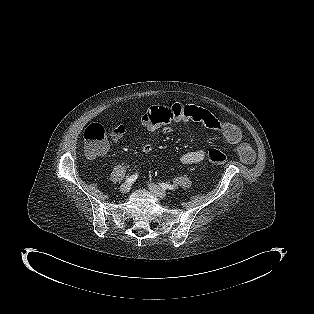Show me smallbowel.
<instances>
[{"label":"small bowel","instance_id":"c3829d8e","mask_svg":"<svg viewBox=\"0 0 314 314\" xmlns=\"http://www.w3.org/2000/svg\"><path fill=\"white\" fill-rule=\"evenodd\" d=\"M192 121L197 122L211 131L218 132L226 142L237 146V152L240 160L245 164H251L254 161L255 154L252 147L242 142L241 130L229 121L219 119L210 111L197 106H188L181 102H171L166 105H150L146 108L142 118V127L147 131H154L162 126L164 134L171 133L175 122ZM125 128L116 134L115 139L123 136ZM142 153H149L152 150L150 143H143L140 147ZM204 150H193L184 153L181 156V162L186 165L198 164L205 160Z\"/></svg>","mask_w":314,"mask_h":314}]
</instances>
